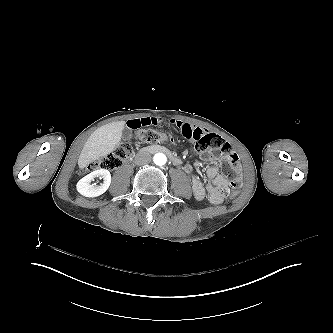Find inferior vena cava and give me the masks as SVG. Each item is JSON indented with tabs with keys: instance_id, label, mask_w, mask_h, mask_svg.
<instances>
[{
	"instance_id": "602c4592",
	"label": "inferior vena cava",
	"mask_w": 333,
	"mask_h": 333,
	"mask_svg": "<svg viewBox=\"0 0 333 333\" xmlns=\"http://www.w3.org/2000/svg\"><path fill=\"white\" fill-rule=\"evenodd\" d=\"M152 160V157L149 152H147L144 149H141L134 158V163L136 165L142 166L150 163Z\"/></svg>"
}]
</instances>
